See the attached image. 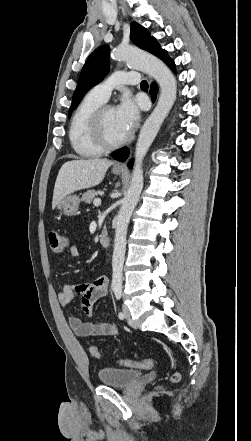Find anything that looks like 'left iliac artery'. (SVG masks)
Instances as JSON below:
<instances>
[{
	"instance_id": "left-iliac-artery-1",
	"label": "left iliac artery",
	"mask_w": 251,
	"mask_h": 441,
	"mask_svg": "<svg viewBox=\"0 0 251 441\" xmlns=\"http://www.w3.org/2000/svg\"><path fill=\"white\" fill-rule=\"evenodd\" d=\"M114 293H115V297H116V299L117 300H120V298H121V296H122V290L121 289H116L115 291H114ZM118 317H119V319H124V314L122 313V312H119L118 313Z\"/></svg>"
}]
</instances>
